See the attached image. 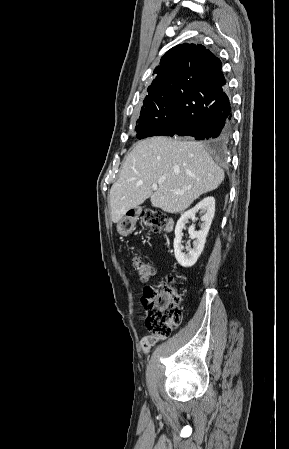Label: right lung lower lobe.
<instances>
[{"label":"right lung lower lobe","mask_w":289,"mask_h":449,"mask_svg":"<svg viewBox=\"0 0 289 449\" xmlns=\"http://www.w3.org/2000/svg\"><path fill=\"white\" fill-rule=\"evenodd\" d=\"M177 115L152 136H191L196 140L224 143L232 118L229 90L219 70L208 81H178L173 88Z\"/></svg>","instance_id":"1"}]
</instances>
